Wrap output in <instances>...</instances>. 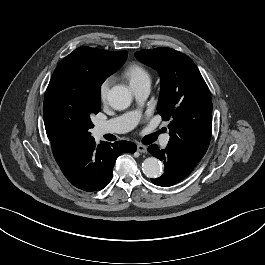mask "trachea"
<instances>
[{"instance_id":"3493384b","label":"trachea","mask_w":265,"mask_h":265,"mask_svg":"<svg viewBox=\"0 0 265 265\" xmlns=\"http://www.w3.org/2000/svg\"><path fill=\"white\" fill-rule=\"evenodd\" d=\"M158 133H153L145 137V144H150L157 139Z\"/></svg>"}]
</instances>
